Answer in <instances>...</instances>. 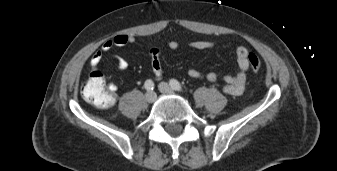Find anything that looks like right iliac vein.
<instances>
[{
	"label": "right iliac vein",
	"mask_w": 337,
	"mask_h": 171,
	"mask_svg": "<svg viewBox=\"0 0 337 171\" xmlns=\"http://www.w3.org/2000/svg\"><path fill=\"white\" fill-rule=\"evenodd\" d=\"M156 98H157L156 93H155V92H152V91L146 93V95H145V99H146V101H147L148 103H153V102H155Z\"/></svg>",
	"instance_id": "1"
}]
</instances>
